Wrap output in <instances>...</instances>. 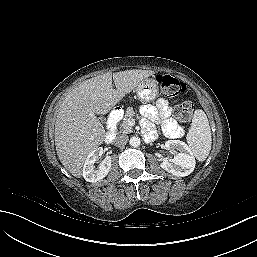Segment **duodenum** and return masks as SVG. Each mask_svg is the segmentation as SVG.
<instances>
[{"mask_svg": "<svg viewBox=\"0 0 257 257\" xmlns=\"http://www.w3.org/2000/svg\"><path fill=\"white\" fill-rule=\"evenodd\" d=\"M118 118H119V113L115 112V114L112 115L108 121V125H107L108 131L105 136L106 143H112L116 138V135H117L116 126H117Z\"/></svg>", "mask_w": 257, "mask_h": 257, "instance_id": "duodenum-1", "label": "duodenum"}]
</instances>
